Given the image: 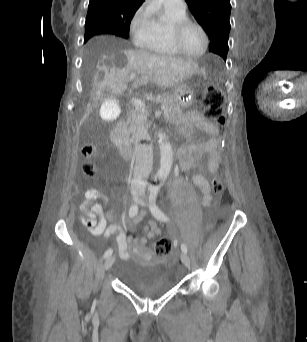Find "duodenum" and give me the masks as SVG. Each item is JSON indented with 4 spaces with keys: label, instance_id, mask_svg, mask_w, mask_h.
<instances>
[{
    "label": "duodenum",
    "instance_id": "obj_1",
    "mask_svg": "<svg viewBox=\"0 0 307 342\" xmlns=\"http://www.w3.org/2000/svg\"><path fill=\"white\" fill-rule=\"evenodd\" d=\"M126 119L121 117L119 122L115 125L112 134L111 140L115 148L118 150L119 154L126 157L129 155L130 149L128 145L127 134L125 131L124 123ZM180 150H178V153Z\"/></svg>",
    "mask_w": 307,
    "mask_h": 342
}]
</instances>
